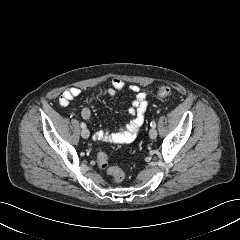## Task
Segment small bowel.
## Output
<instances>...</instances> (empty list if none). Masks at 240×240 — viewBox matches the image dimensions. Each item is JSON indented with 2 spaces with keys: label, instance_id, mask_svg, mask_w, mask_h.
<instances>
[{
  "label": "small bowel",
  "instance_id": "c3829d8e",
  "mask_svg": "<svg viewBox=\"0 0 240 240\" xmlns=\"http://www.w3.org/2000/svg\"><path fill=\"white\" fill-rule=\"evenodd\" d=\"M126 88L124 81L119 78H113L111 84L108 87L100 88L94 92L91 100L100 98L104 95L114 97L117 92L122 91ZM128 90L134 94V99L131 106L128 108L129 114L132 116V120L124 127L110 132L107 129L99 130L95 133V137L98 140L107 143L114 144H126L132 142L145 121V112L148 107L147 94L143 91L140 86L131 84L128 86ZM81 94V90L77 87H70L65 89L59 97V104L61 107L68 106L69 102ZM81 116L84 120L90 121L92 117V111L90 107H85L81 111Z\"/></svg>",
  "mask_w": 240,
  "mask_h": 240
}]
</instances>
